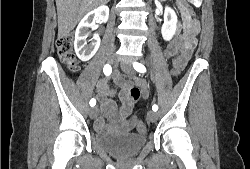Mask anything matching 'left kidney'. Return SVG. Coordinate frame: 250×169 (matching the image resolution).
<instances>
[{"label":"left kidney","instance_id":"5707ae66","mask_svg":"<svg viewBox=\"0 0 250 169\" xmlns=\"http://www.w3.org/2000/svg\"><path fill=\"white\" fill-rule=\"evenodd\" d=\"M177 14L171 6H165L161 32L164 40H171L176 32Z\"/></svg>","mask_w":250,"mask_h":169}]
</instances>
